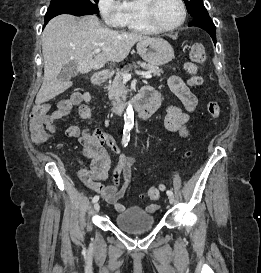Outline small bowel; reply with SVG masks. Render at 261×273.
Returning <instances> with one entry per match:
<instances>
[{"label":"small bowel","instance_id":"small-bowel-1","mask_svg":"<svg viewBox=\"0 0 261 273\" xmlns=\"http://www.w3.org/2000/svg\"><path fill=\"white\" fill-rule=\"evenodd\" d=\"M167 85L172 93L177 97L180 105L167 104V113L165 116H159L163 119L166 128L173 133H178L182 137H188L190 132L186 126L190 114L196 109L198 99L189 89L183 79L179 76H171L167 80ZM154 97L157 108L165 102L163 94L154 91L146 86ZM91 94L88 92L75 94L70 100L59 104L58 109L53 110L45 120V128L49 132L56 129L55 122L60 120L64 114L73 106L78 105L79 115L83 120L91 118V112L87 105L82 104L91 101ZM69 137L75 138L82 145L80 156L83 159H90L91 164L88 168L82 167L79 170L81 181L94 192L98 193L106 202L113 205L117 212H123L125 207L120 203V199L128 189L132 173L131 168L135 163V158L124 154L119 148L115 138L102 130L101 128H84L78 126H69L66 130ZM105 147H108L118 157V163L112 174V183L104 185V181L109 176L111 158ZM123 179V182H121ZM150 212L158 209V205L151 204L146 208Z\"/></svg>","mask_w":261,"mask_h":273}]
</instances>
